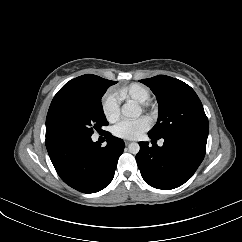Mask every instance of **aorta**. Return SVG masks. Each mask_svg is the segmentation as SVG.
Segmentation results:
<instances>
[{
	"mask_svg": "<svg viewBox=\"0 0 242 242\" xmlns=\"http://www.w3.org/2000/svg\"><path fill=\"white\" fill-rule=\"evenodd\" d=\"M121 113L125 118H135L140 114V108L134 104H124L121 109ZM128 150L132 154H137L140 150L138 143H130Z\"/></svg>",
	"mask_w": 242,
	"mask_h": 242,
	"instance_id": "762f6f07",
	"label": "aorta"
}]
</instances>
